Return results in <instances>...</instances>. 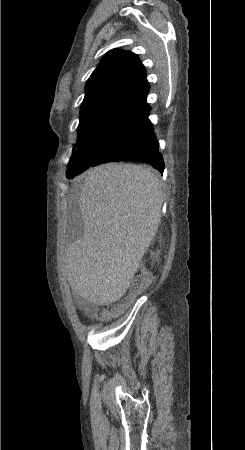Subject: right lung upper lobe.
<instances>
[{"instance_id":"cb5924a9","label":"right lung upper lobe","mask_w":245,"mask_h":450,"mask_svg":"<svg viewBox=\"0 0 245 450\" xmlns=\"http://www.w3.org/2000/svg\"><path fill=\"white\" fill-rule=\"evenodd\" d=\"M81 111L96 107H116L144 113L149 85L145 68L132 52L116 49L105 54L86 83ZM80 111V112H81Z\"/></svg>"}]
</instances>
